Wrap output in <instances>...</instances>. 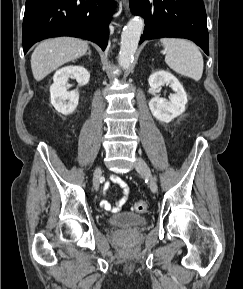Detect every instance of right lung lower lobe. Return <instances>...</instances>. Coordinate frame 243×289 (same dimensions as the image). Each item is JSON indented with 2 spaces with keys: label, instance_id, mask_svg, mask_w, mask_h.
<instances>
[{
  "label": "right lung lower lobe",
  "instance_id": "obj_1",
  "mask_svg": "<svg viewBox=\"0 0 243 289\" xmlns=\"http://www.w3.org/2000/svg\"><path fill=\"white\" fill-rule=\"evenodd\" d=\"M112 0H26L23 50L44 38L80 37L105 50Z\"/></svg>",
  "mask_w": 243,
  "mask_h": 289
}]
</instances>
